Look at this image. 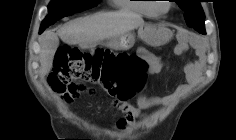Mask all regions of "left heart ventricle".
I'll use <instances>...</instances> for the list:
<instances>
[{"label": "left heart ventricle", "instance_id": "obj_1", "mask_svg": "<svg viewBox=\"0 0 236 140\" xmlns=\"http://www.w3.org/2000/svg\"><path fill=\"white\" fill-rule=\"evenodd\" d=\"M160 7H161L162 9H166V8L168 7V5H167V4H160Z\"/></svg>", "mask_w": 236, "mask_h": 140}]
</instances>
